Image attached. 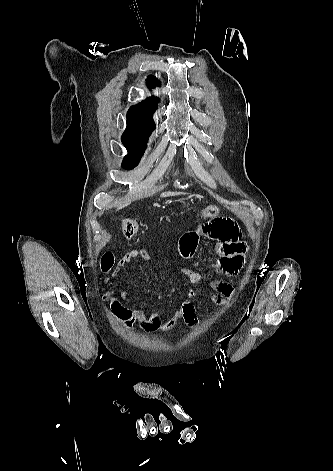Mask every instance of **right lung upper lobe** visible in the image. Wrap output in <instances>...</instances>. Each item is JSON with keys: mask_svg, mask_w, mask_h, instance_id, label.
<instances>
[{"mask_svg": "<svg viewBox=\"0 0 333 471\" xmlns=\"http://www.w3.org/2000/svg\"><path fill=\"white\" fill-rule=\"evenodd\" d=\"M146 83L150 88L160 86V81L153 75H149ZM159 99L151 96L141 103L131 106L127 112L126 130H138L152 132L156 125L153 120V113L157 108Z\"/></svg>", "mask_w": 333, "mask_h": 471, "instance_id": "right-lung-upper-lobe-1", "label": "right lung upper lobe"}]
</instances>
